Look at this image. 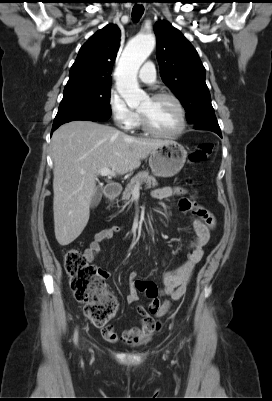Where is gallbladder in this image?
<instances>
[{
  "label": "gallbladder",
  "mask_w": 272,
  "mask_h": 401,
  "mask_svg": "<svg viewBox=\"0 0 272 401\" xmlns=\"http://www.w3.org/2000/svg\"><path fill=\"white\" fill-rule=\"evenodd\" d=\"M101 198H102V188L99 186L91 199L90 203L91 207H96L100 203Z\"/></svg>",
  "instance_id": "1"
}]
</instances>
